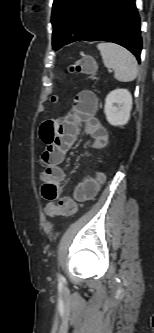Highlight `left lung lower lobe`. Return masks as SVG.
Returning a JSON list of instances; mask_svg holds the SVG:
<instances>
[{
  "label": "left lung lower lobe",
  "mask_w": 154,
  "mask_h": 333,
  "mask_svg": "<svg viewBox=\"0 0 154 333\" xmlns=\"http://www.w3.org/2000/svg\"><path fill=\"white\" fill-rule=\"evenodd\" d=\"M135 0H97L66 42L108 41L131 51L140 63L142 40Z\"/></svg>",
  "instance_id": "1"
}]
</instances>
